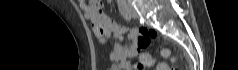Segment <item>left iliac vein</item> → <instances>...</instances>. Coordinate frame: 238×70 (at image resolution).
<instances>
[{
  "instance_id": "left-iliac-vein-1",
  "label": "left iliac vein",
  "mask_w": 238,
  "mask_h": 70,
  "mask_svg": "<svg viewBox=\"0 0 238 70\" xmlns=\"http://www.w3.org/2000/svg\"><path fill=\"white\" fill-rule=\"evenodd\" d=\"M126 7L129 11L130 16L134 19L137 18L138 15H137L136 10L130 4H128Z\"/></svg>"
}]
</instances>
